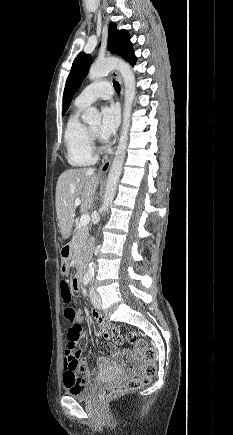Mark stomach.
<instances>
[{"instance_id":"obj_1","label":"stomach","mask_w":233,"mask_h":435,"mask_svg":"<svg viewBox=\"0 0 233 435\" xmlns=\"http://www.w3.org/2000/svg\"><path fill=\"white\" fill-rule=\"evenodd\" d=\"M60 272H61L62 275H65V276L68 275V273H69V263H68V261H66V260L62 261Z\"/></svg>"}]
</instances>
